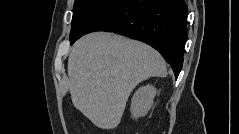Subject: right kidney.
<instances>
[{
    "mask_svg": "<svg viewBox=\"0 0 239 134\" xmlns=\"http://www.w3.org/2000/svg\"><path fill=\"white\" fill-rule=\"evenodd\" d=\"M156 89L147 85L139 88L132 98L131 114L133 118L145 116L153 105Z\"/></svg>",
    "mask_w": 239,
    "mask_h": 134,
    "instance_id": "obj_1",
    "label": "right kidney"
}]
</instances>
